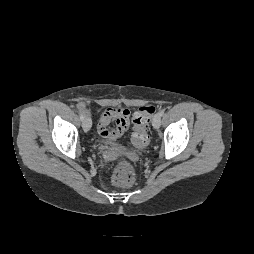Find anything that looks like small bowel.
<instances>
[{"instance_id":"c3829d8e","label":"small bowel","mask_w":254,"mask_h":254,"mask_svg":"<svg viewBox=\"0 0 254 254\" xmlns=\"http://www.w3.org/2000/svg\"><path fill=\"white\" fill-rule=\"evenodd\" d=\"M78 109L88 115L89 111L85 102L78 104ZM131 112L127 108L110 107L105 109L98 120L97 130L101 137L106 140H116L121 137L130 126ZM114 123L113 127L110 124Z\"/></svg>"}]
</instances>
